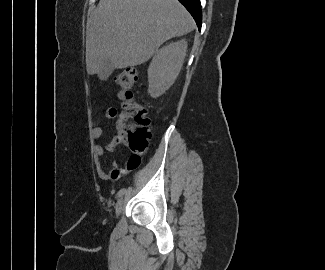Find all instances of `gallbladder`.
Returning <instances> with one entry per match:
<instances>
[{"label": "gallbladder", "mask_w": 325, "mask_h": 270, "mask_svg": "<svg viewBox=\"0 0 325 270\" xmlns=\"http://www.w3.org/2000/svg\"><path fill=\"white\" fill-rule=\"evenodd\" d=\"M113 70H114V67L111 64V61L107 60L101 74L103 77L106 78L113 72Z\"/></svg>", "instance_id": "gallbladder-1"}]
</instances>
